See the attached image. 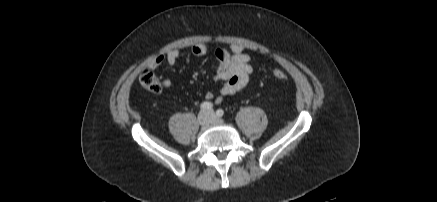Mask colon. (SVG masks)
Masks as SVG:
<instances>
[{
	"mask_svg": "<svg viewBox=\"0 0 437 202\" xmlns=\"http://www.w3.org/2000/svg\"><path fill=\"white\" fill-rule=\"evenodd\" d=\"M273 76L278 80H286L287 74L279 69H275L272 72ZM140 84L146 90L151 92H159L161 89V82L158 77L150 69H144L139 77Z\"/></svg>",
	"mask_w": 437,
	"mask_h": 202,
	"instance_id": "5ec220e1",
	"label": "colon"
}]
</instances>
